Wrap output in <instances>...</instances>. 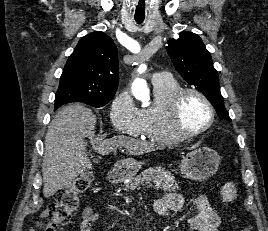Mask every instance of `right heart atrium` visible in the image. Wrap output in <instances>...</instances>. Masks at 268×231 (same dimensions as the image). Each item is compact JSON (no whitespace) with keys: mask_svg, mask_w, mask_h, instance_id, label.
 I'll use <instances>...</instances> for the list:
<instances>
[{"mask_svg":"<svg viewBox=\"0 0 268 231\" xmlns=\"http://www.w3.org/2000/svg\"><path fill=\"white\" fill-rule=\"evenodd\" d=\"M110 119L113 127L120 133L132 137L142 136L140 109L128 90L118 92L113 98L110 105Z\"/></svg>","mask_w":268,"mask_h":231,"instance_id":"d8ad5b80","label":"right heart atrium"}]
</instances>
